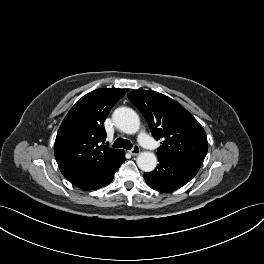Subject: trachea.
I'll list each match as a JSON object with an SVG mask.
<instances>
[{
    "label": "trachea",
    "instance_id": "1",
    "mask_svg": "<svg viewBox=\"0 0 264 264\" xmlns=\"http://www.w3.org/2000/svg\"><path fill=\"white\" fill-rule=\"evenodd\" d=\"M113 147L124 148V149L130 150V149H132L133 145L129 140L118 138L114 142Z\"/></svg>",
    "mask_w": 264,
    "mask_h": 264
}]
</instances>
